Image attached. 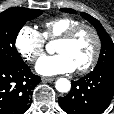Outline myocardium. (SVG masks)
Wrapping results in <instances>:
<instances>
[{"label": "myocardium", "mask_w": 114, "mask_h": 114, "mask_svg": "<svg viewBox=\"0 0 114 114\" xmlns=\"http://www.w3.org/2000/svg\"><path fill=\"white\" fill-rule=\"evenodd\" d=\"M82 30H86L92 35L94 39V50L88 62L77 68V71L79 73H85L90 71L96 65L99 59L102 48V41L97 30L89 24L79 23L67 29L62 35L59 36L58 39V41H71Z\"/></svg>", "instance_id": "myocardium-1"}]
</instances>
